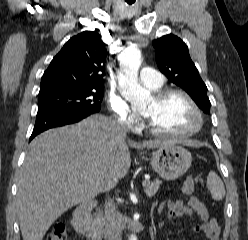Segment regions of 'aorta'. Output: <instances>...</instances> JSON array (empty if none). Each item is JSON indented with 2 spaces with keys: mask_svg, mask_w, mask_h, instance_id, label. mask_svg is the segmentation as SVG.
Segmentation results:
<instances>
[{
  "mask_svg": "<svg viewBox=\"0 0 248 240\" xmlns=\"http://www.w3.org/2000/svg\"><path fill=\"white\" fill-rule=\"evenodd\" d=\"M141 65V51L136 46L126 48L120 56L119 89L122 96L133 107L145 105L150 100V92L138 81V70ZM129 240H137L132 234Z\"/></svg>",
  "mask_w": 248,
  "mask_h": 240,
  "instance_id": "obj_1",
  "label": "aorta"
}]
</instances>
